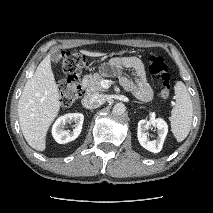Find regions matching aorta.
I'll return each mask as SVG.
<instances>
[{
  "instance_id": "obj_1",
  "label": "aorta",
  "mask_w": 213,
  "mask_h": 213,
  "mask_svg": "<svg viewBox=\"0 0 213 213\" xmlns=\"http://www.w3.org/2000/svg\"><path fill=\"white\" fill-rule=\"evenodd\" d=\"M126 111V106L123 103H116L112 109V113L115 115H122Z\"/></svg>"
}]
</instances>
